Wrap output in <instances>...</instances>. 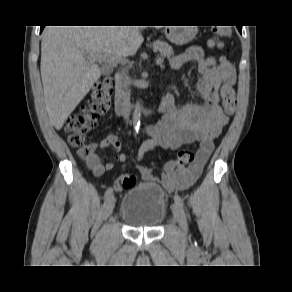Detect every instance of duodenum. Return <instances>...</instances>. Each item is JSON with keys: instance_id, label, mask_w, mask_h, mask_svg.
<instances>
[{"instance_id": "1", "label": "duodenum", "mask_w": 292, "mask_h": 292, "mask_svg": "<svg viewBox=\"0 0 292 292\" xmlns=\"http://www.w3.org/2000/svg\"><path fill=\"white\" fill-rule=\"evenodd\" d=\"M117 88H116V98H115V111L118 116H124L128 113V99L125 93L124 87L122 85V75H116ZM168 102V97H163L157 102L158 108H164Z\"/></svg>"}]
</instances>
